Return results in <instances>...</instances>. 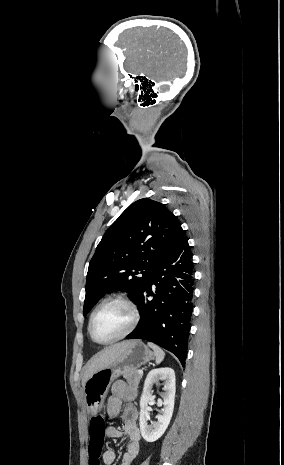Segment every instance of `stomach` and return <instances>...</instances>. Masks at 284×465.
<instances>
[{
  "label": "stomach",
  "mask_w": 284,
  "mask_h": 465,
  "mask_svg": "<svg viewBox=\"0 0 284 465\" xmlns=\"http://www.w3.org/2000/svg\"><path fill=\"white\" fill-rule=\"evenodd\" d=\"M154 359L153 351L141 341H130L125 351L117 357L114 363L100 369L86 381L84 401L90 415H97L103 409L104 401L111 387V383L126 371H136Z\"/></svg>",
  "instance_id": "obj_1"
}]
</instances>
